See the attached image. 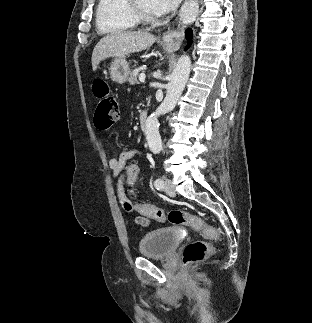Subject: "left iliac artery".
<instances>
[{"mask_svg":"<svg viewBox=\"0 0 312 323\" xmlns=\"http://www.w3.org/2000/svg\"><path fill=\"white\" fill-rule=\"evenodd\" d=\"M154 186L156 187V189L158 190H161L164 188V184H163V181L160 179V178H157L155 181H154Z\"/></svg>","mask_w":312,"mask_h":323,"instance_id":"obj_1","label":"left iliac artery"}]
</instances>
